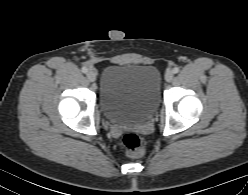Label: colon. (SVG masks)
Returning <instances> with one entry per match:
<instances>
[{
  "instance_id": "obj_1",
  "label": "colon",
  "mask_w": 248,
  "mask_h": 195,
  "mask_svg": "<svg viewBox=\"0 0 248 195\" xmlns=\"http://www.w3.org/2000/svg\"><path fill=\"white\" fill-rule=\"evenodd\" d=\"M122 147L130 156H140L145 150L144 139L135 133H126L121 139Z\"/></svg>"
}]
</instances>
